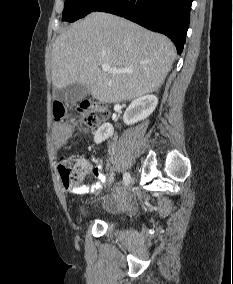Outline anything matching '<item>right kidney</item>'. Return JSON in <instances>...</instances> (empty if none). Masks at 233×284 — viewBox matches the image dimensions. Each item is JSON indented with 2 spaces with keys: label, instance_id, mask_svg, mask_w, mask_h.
I'll list each match as a JSON object with an SVG mask.
<instances>
[{
  "label": "right kidney",
  "instance_id": "ca27d5eb",
  "mask_svg": "<svg viewBox=\"0 0 233 284\" xmlns=\"http://www.w3.org/2000/svg\"><path fill=\"white\" fill-rule=\"evenodd\" d=\"M158 104L155 95H144L131 102L123 115L126 125L134 124L146 119L152 114ZM114 129L110 123H104L95 133L94 141L99 144L113 135Z\"/></svg>",
  "mask_w": 233,
  "mask_h": 284
}]
</instances>
